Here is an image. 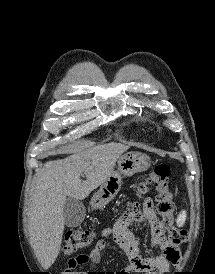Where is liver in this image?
I'll use <instances>...</instances> for the list:
<instances>
[{"instance_id":"obj_1","label":"liver","mask_w":215,"mask_h":274,"mask_svg":"<svg viewBox=\"0 0 215 274\" xmlns=\"http://www.w3.org/2000/svg\"><path fill=\"white\" fill-rule=\"evenodd\" d=\"M128 146L109 143L79 148L59 160L46 162L32 183L28 227L32 248L44 269L56 260L64 232L67 197L83 200L112 174ZM84 173L86 180L80 175Z\"/></svg>"}]
</instances>
